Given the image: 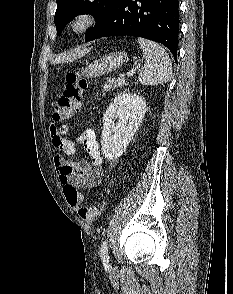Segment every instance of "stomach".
<instances>
[{
    "mask_svg": "<svg viewBox=\"0 0 233 294\" xmlns=\"http://www.w3.org/2000/svg\"><path fill=\"white\" fill-rule=\"evenodd\" d=\"M127 61L128 56L125 51L109 53L99 60H95L93 63L86 66L81 73L85 78L88 79L98 77L122 67V65H124Z\"/></svg>",
    "mask_w": 233,
    "mask_h": 294,
    "instance_id": "stomach-1",
    "label": "stomach"
}]
</instances>
